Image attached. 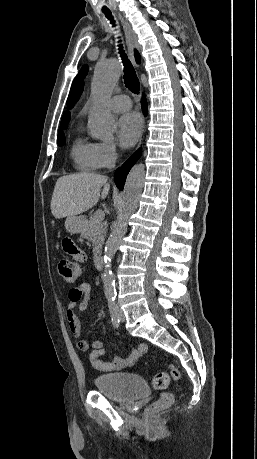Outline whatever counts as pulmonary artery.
<instances>
[{"label": "pulmonary artery", "instance_id": "e3ab8cb5", "mask_svg": "<svg viewBox=\"0 0 257 459\" xmlns=\"http://www.w3.org/2000/svg\"><path fill=\"white\" fill-rule=\"evenodd\" d=\"M108 104L112 110L121 112L130 109L131 100L126 95H115L110 98Z\"/></svg>", "mask_w": 257, "mask_h": 459}]
</instances>
